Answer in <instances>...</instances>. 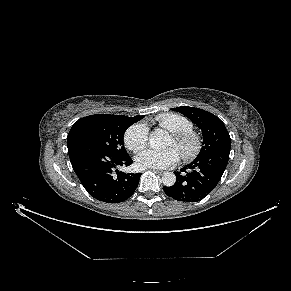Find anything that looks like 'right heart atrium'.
<instances>
[{
    "label": "right heart atrium",
    "instance_id": "obj_1",
    "mask_svg": "<svg viewBox=\"0 0 291 291\" xmlns=\"http://www.w3.org/2000/svg\"><path fill=\"white\" fill-rule=\"evenodd\" d=\"M149 129L144 123H136L130 126L124 135V142L128 149L137 152L142 149L148 141Z\"/></svg>",
    "mask_w": 291,
    "mask_h": 291
}]
</instances>
